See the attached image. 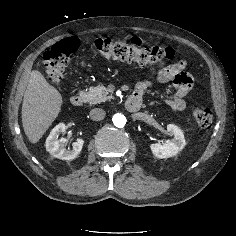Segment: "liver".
Segmentation results:
<instances>
[{
    "label": "liver",
    "instance_id": "1",
    "mask_svg": "<svg viewBox=\"0 0 236 236\" xmlns=\"http://www.w3.org/2000/svg\"><path fill=\"white\" fill-rule=\"evenodd\" d=\"M62 96L37 70L30 74L22 103V125L28 140L37 143L61 111Z\"/></svg>",
    "mask_w": 236,
    "mask_h": 236
}]
</instances>
